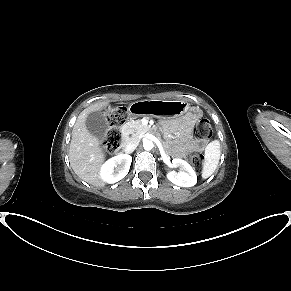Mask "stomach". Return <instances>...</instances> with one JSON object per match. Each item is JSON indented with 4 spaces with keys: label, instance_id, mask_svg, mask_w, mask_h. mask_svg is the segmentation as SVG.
Wrapping results in <instances>:
<instances>
[{
    "label": "stomach",
    "instance_id": "0dacf381",
    "mask_svg": "<svg viewBox=\"0 0 291 291\" xmlns=\"http://www.w3.org/2000/svg\"><path fill=\"white\" fill-rule=\"evenodd\" d=\"M190 108L189 104L182 100H143L131 103L128 107V115L130 117L151 115L157 118L186 119V113Z\"/></svg>",
    "mask_w": 291,
    "mask_h": 291
}]
</instances>
